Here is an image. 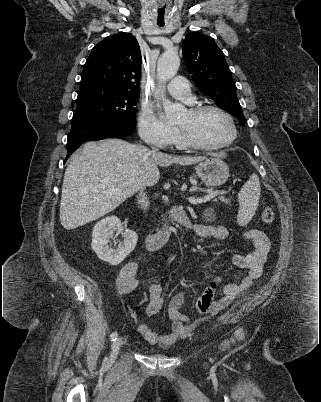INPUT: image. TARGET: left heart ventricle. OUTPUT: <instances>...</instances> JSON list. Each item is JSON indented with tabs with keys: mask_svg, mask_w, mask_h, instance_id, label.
<instances>
[{
	"mask_svg": "<svg viewBox=\"0 0 321 402\" xmlns=\"http://www.w3.org/2000/svg\"><path fill=\"white\" fill-rule=\"evenodd\" d=\"M175 125L205 144L220 143L231 135L229 122L215 110H206L199 114H191L186 110L178 117Z\"/></svg>",
	"mask_w": 321,
	"mask_h": 402,
	"instance_id": "left-heart-ventricle-1",
	"label": "left heart ventricle"
}]
</instances>
